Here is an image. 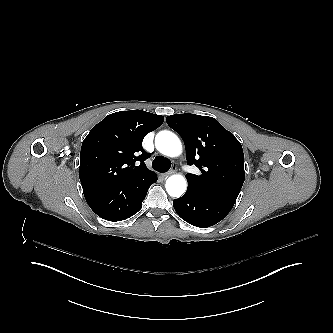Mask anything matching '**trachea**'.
Returning <instances> with one entry per match:
<instances>
[{"instance_id":"obj_1","label":"trachea","mask_w":333,"mask_h":333,"mask_svg":"<svg viewBox=\"0 0 333 333\" xmlns=\"http://www.w3.org/2000/svg\"><path fill=\"white\" fill-rule=\"evenodd\" d=\"M152 167L159 172H167L171 167V162L163 156H157L152 162Z\"/></svg>"}]
</instances>
